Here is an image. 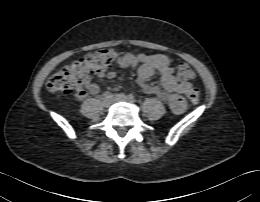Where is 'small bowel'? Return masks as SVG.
<instances>
[{
  "mask_svg": "<svg viewBox=\"0 0 260 202\" xmlns=\"http://www.w3.org/2000/svg\"><path fill=\"white\" fill-rule=\"evenodd\" d=\"M118 65L120 68L138 66L137 82L146 94L154 95L163 102L168 103L176 113L184 111L185 104L181 95L187 93L192 88V85L189 82L176 79L174 69L165 55L124 54L119 58ZM155 73L160 75V84H148L147 80ZM99 75H105L108 79H113L116 77V71L102 72ZM85 87L90 94L96 95L100 92V86L90 78L86 80ZM86 95L87 92L83 88L75 93L78 99H83Z\"/></svg>",
  "mask_w": 260,
  "mask_h": 202,
  "instance_id": "1",
  "label": "small bowel"
}]
</instances>
